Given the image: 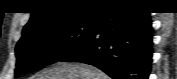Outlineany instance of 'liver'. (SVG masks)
Wrapping results in <instances>:
<instances>
[{
  "instance_id": "liver-1",
  "label": "liver",
  "mask_w": 177,
  "mask_h": 79,
  "mask_svg": "<svg viewBox=\"0 0 177 79\" xmlns=\"http://www.w3.org/2000/svg\"><path fill=\"white\" fill-rule=\"evenodd\" d=\"M30 79H109L98 68L75 62H57L36 73Z\"/></svg>"
}]
</instances>
